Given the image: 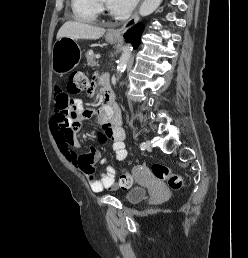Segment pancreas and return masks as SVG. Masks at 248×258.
Segmentation results:
<instances>
[{
    "label": "pancreas",
    "instance_id": "1",
    "mask_svg": "<svg viewBox=\"0 0 248 258\" xmlns=\"http://www.w3.org/2000/svg\"><path fill=\"white\" fill-rule=\"evenodd\" d=\"M94 57H95V54L93 53L92 50H89L86 53V59H87L88 66H91V67L98 66V62L95 61Z\"/></svg>",
    "mask_w": 248,
    "mask_h": 258
}]
</instances>
